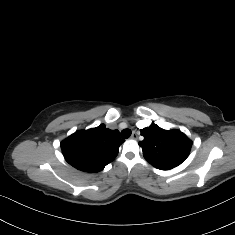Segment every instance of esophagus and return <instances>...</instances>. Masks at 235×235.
Here are the masks:
<instances>
[{"label":"esophagus","mask_w":235,"mask_h":235,"mask_svg":"<svg viewBox=\"0 0 235 235\" xmlns=\"http://www.w3.org/2000/svg\"><path fill=\"white\" fill-rule=\"evenodd\" d=\"M131 138L132 139H138V135L135 131L132 132Z\"/></svg>","instance_id":"1"}]
</instances>
